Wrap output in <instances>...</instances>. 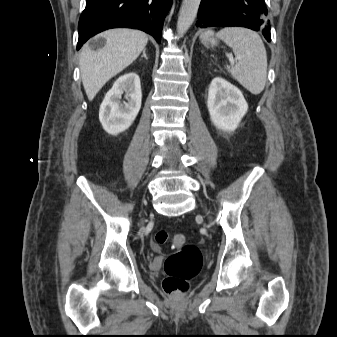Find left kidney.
Returning a JSON list of instances; mask_svg holds the SVG:
<instances>
[{
	"label": "left kidney",
	"instance_id": "obj_1",
	"mask_svg": "<svg viewBox=\"0 0 337 337\" xmlns=\"http://www.w3.org/2000/svg\"><path fill=\"white\" fill-rule=\"evenodd\" d=\"M207 107L214 126L227 132L238 127L248 110L241 91L221 77H215L210 84Z\"/></svg>",
	"mask_w": 337,
	"mask_h": 337
}]
</instances>
